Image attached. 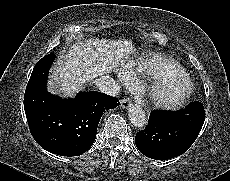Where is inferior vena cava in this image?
Returning <instances> with one entry per match:
<instances>
[{
  "label": "inferior vena cava",
  "instance_id": "1",
  "mask_svg": "<svg viewBox=\"0 0 230 181\" xmlns=\"http://www.w3.org/2000/svg\"><path fill=\"white\" fill-rule=\"evenodd\" d=\"M96 88L110 96H117L120 93V85L110 76H102L94 80Z\"/></svg>",
  "mask_w": 230,
  "mask_h": 181
}]
</instances>
